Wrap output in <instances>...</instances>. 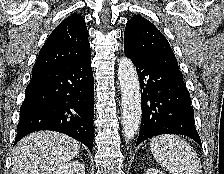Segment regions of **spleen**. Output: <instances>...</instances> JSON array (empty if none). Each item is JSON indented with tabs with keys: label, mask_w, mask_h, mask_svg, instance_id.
Segmentation results:
<instances>
[{
	"label": "spleen",
	"mask_w": 224,
	"mask_h": 174,
	"mask_svg": "<svg viewBox=\"0 0 224 174\" xmlns=\"http://www.w3.org/2000/svg\"><path fill=\"white\" fill-rule=\"evenodd\" d=\"M151 152L169 174H202L200 159L194 149L176 135H160L152 138Z\"/></svg>",
	"instance_id": "obj_1"
}]
</instances>
